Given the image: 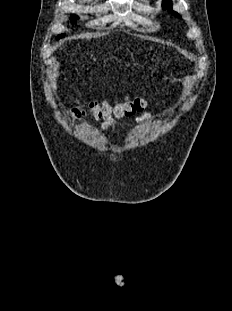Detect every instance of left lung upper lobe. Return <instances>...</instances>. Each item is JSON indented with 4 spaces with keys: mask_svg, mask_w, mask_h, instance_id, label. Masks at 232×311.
Instances as JSON below:
<instances>
[{
    "mask_svg": "<svg viewBox=\"0 0 232 311\" xmlns=\"http://www.w3.org/2000/svg\"><path fill=\"white\" fill-rule=\"evenodd\" d=\"M162 7H163L164 9L167 8L171 14L177 16L178 18H181V16H180L177 12H175V11L172 10V3H171V0H164L163 3H162Z\"/></svg>",
    "mask_w": 232,
    "mask_h": 311,
    "instance_id": "left-lung-upper-lobe-1",
    "label": "left lung upper lobe"
}]
</instances>
